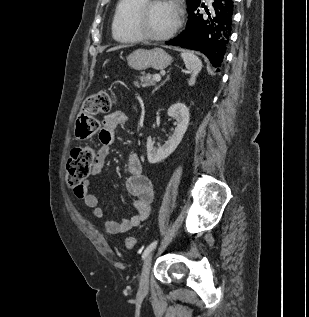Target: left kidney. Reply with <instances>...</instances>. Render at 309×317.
<instances>
[{"mask_svg":"<svg viewBox=\"0 0 309 317\" xmlns=\"http://www.w3.org/2000/svg\"><path fill=\"white\" fill-rule=\"evenodd\" d=\"M168 115L176 122L173 135L163 146L156 148L154 142L149 137L147 139V159L151 164H156L167 158L182 141V138L189 125V109L183 103H176L168 109Z\"/></svg>","mask_w":309,"mask_h":317,"instance_id":"5707ae66","label":"left kidney"}]
</instances>
